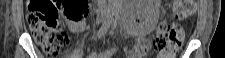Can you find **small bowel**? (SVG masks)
<instances>
[{
  "mask_svg": "<svg viewBox=\"0 0 225 58\" xmlns=\"http://www.w3.org/2000/svg\"><path fill=\"white\" fill-rule=\"evenodd\" d=\"M66 24H67L69 30L73 33L83 32L86 28V22L84 20L70 21V20L66 19ZM129 30H130V33L138 36L136 44L144 43L146 41V39L144 37L146 31H140L139 29H137L135 27H131ZM116 52H117V48L111 47L103 52H100L99 54L91 53L88 57L89 58H111L114 54H116ZM128 54H129V52H128ZM128 54H127V56H128Z\"/></svg>",
  "mask_w": 225,
  "mask_h": 58,
  "instance_id": "obj_1",
  "label": "small bowel"
}]
</instances>
